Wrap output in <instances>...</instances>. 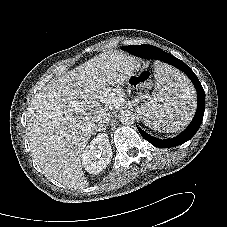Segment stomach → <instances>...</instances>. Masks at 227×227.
Listing matches in <instances>:
<instances>
[{
	"label": "stomach",
	"instance_id": "stomach-1",
	"mask_svg": "<svg viewBox=\"0 0 227 227\" xmlns=\"http://www.w3.org/2000/svg\"><path fill=\"white\" fill-rule=\"evenodd\" d=\"M110 92L115 93L116 96H119L121 94V89L118 86H113L110 87Z\"/></svg>",
	"mask_w": 227,
	"mask_h": 227
}]
</instances>
